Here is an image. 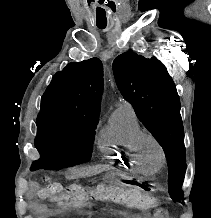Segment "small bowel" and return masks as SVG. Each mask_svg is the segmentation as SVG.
I'll list each match as a JSON object with an SVG mask.
<instances>
[{"mask_svg":"<svg viewBox=\"0 0 211 218\" xmlns=\"http://www.w3.org/2000/svg\"><path fill=\"white\" fill-rule=\"evenodd\" d=\"M28 198L31 200L32 205L36 209H44L45 205L43 204V201L45 200L44 196L42 195L41 190L39 189L38 186L33 185L28 193H27Z\"/></svg>","mask_w":211,"mask_h":218,"instance_id":"c3829d8e","label":"small bowel"}]
</instances>
